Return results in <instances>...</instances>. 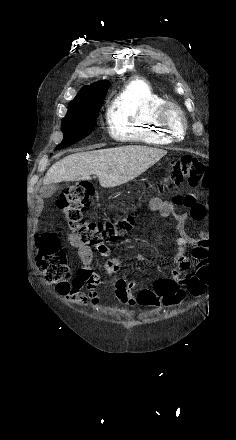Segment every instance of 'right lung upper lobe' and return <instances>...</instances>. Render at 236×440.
<instances>
[{
	"mask_svg": "<svg viewBox=\"0 0 236 440\" xmlns=\"http://www.w3.org/2000/svg\"><path fill=\"white\" fill-rule=\"evenodd\" d=\"M107 89H108V82L105 81L96 82L91 86L83 87L71 102L102 96L106 94Z\"/></svg>",
	"mask_w": 236,
	"mask_h": 440,
	"instance_id": "obj_1",
	"label": "right lung upper lobe"
}]
</instances>
